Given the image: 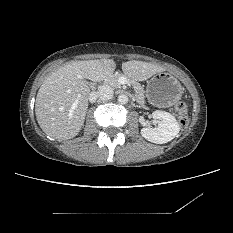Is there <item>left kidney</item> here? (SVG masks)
Masks as SVG:
<instances>
[{
  "mask_svg": "<svg viewBox=\"0 0 233 233\" xmlns=\"http://www.w3.org/2000/svg\"><path fill=\"white\" fill-rule=\"evenodd\" d=\"M152 116L158 121V126L156 128L145 127L141 129V135L146 140L156 144H164L178 135L180 127L172 114L156 110L152 113Z\"/></svg>",
  "mask_w": 233,
  "mask_h": 233,
  "instance_id": "left-kidney-1",
  "label": "left kidney"
}]
</instances>
